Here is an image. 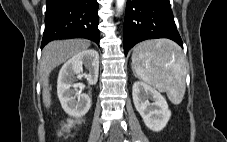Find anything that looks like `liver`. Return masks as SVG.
<instances>
[{"label":"liver","instance_id":"obj_1","mask_svg":"<svg viewBox=\"0 0 227 142\" xmlns=\"http://www.w3.org/2000/svg\"><path fill=\"white\" fill-rule=\"evenodd\" d=\"M89 47L90 41L85 39L53 41L44 47L40 64V77L43 88V103L46 108L51 106L49 75L52 70Z\"/></svg>","mask_w":227,"mask_h":142}]
</instances>
